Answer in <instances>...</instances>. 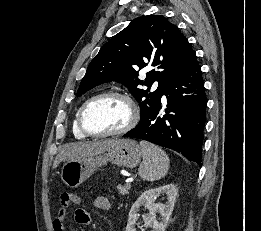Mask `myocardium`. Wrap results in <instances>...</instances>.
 <instances>
[{"label":"myocardium","mask_w":261,"mask_h":231,"mask_svg":"<svg viewBox=\"0 0 261 231\" xmlns=\"http://www.w3.org/2000/svg\"><path fill=\"white\" fill-rule=\"evenodd\" d=\"M110 97L121 98L128 103V105L130 107V113H131L128 124L125 127H123L122 129H119L116 131H111V132L97 133V132H93V131L89 130L85 124V114H86L87 110L92 105L99 102L100 100L110 98ZM138 120H139V109H138L136 102L129 94L124 93V92H119V91H108V92L100 93V94L93 96L81 107L79 114H78V126H79L80 131L83 134H85L86 136L96 137V138L120 136V135L127 134L137 125Z\"/></svg>","instance_id":"f54148a6"}]
</instances>
